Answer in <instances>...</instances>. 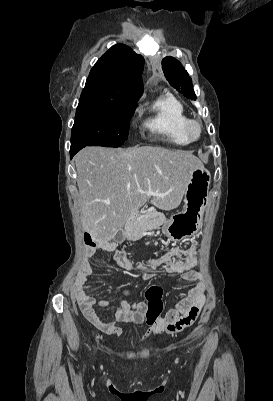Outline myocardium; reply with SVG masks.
Segmentation results:
<instances>
[{"mask_svg":"<svg viewBox=\"0 0 273 401\" xmlns=\"http://www.w3.org/2000/svg\"><path fill=\"white\" fill-rule=\"evenodd\" d=\"M194 128H197L198 131L196 135L194 134ZM183 133L189 142H198L204 137L205 128L200 120L189 119L183 127Z\"/></svg>","mask_w":273,"mask_h":401,"instance_id":"obj_1","label":"myocardium"}]
</instances>
